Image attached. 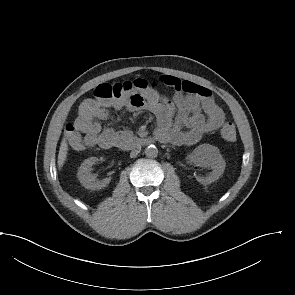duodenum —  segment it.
<instances>
[{
  "label": "duodenum",
  "instance_id": "410a0bca",
  "mask_svg": "<svg viewBox=\"0 0 295 295\" xmlns=\"http://www.w3.org/2000/svg\"><path fill=\"white\" fill-rule=\"evenodd\" d=\"M159 141L162 143H167V139L164 137L148 138V137H136L129 134H123L115 141L113 146H118L122 148H135L148 146L152 142Z\"/></svg>",
  "mask_w": 295,
  "mask_h": 295
}]
</instances>
